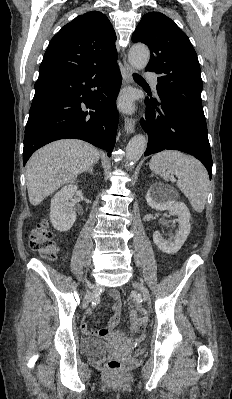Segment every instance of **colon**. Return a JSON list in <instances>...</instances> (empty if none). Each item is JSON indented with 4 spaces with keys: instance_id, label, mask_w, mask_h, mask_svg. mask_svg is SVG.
Returning <instances> with one entry per match:
<instances>
[{
    "instance_id": "1",
    "label": "colon",
    "mask_w": 232,
    "mask_h": 399,
    "mask_svg": "<svg viewBox=\"0 0 232 399\" xmlns=\"http://www.w3.org/2000/svg\"><path fill=\"white\" fill-rule=\"evenodd\" d=\"M36 230L33 231L32 237L27 241V247L39 256L55 261L59 257V251L53 243L52 228L49 222L42 221L37 223ZM130 328L134 330L140 329V324H147L146 308H131ZM117 346H112V353H134L135 348L131 346V340H117ZM106 363L110 374H123L125 361L123 355H108Z\"/></svg>"
}]
</instances>
